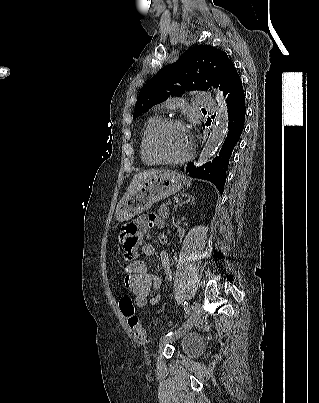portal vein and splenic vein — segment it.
Here are the masks:
<instances>
[{"label": "portal vein and splenic vein", "mask_w": 319, "mask_h": 403, "mask_svg": "<svg viewBox=\"0 0 319 403\" xmlns=\"http://www.w3.org/2000/svg\"><path fill=\"white\" fill-rule=\"evenodd\" d=\"M171 204H172V202H171V201H168L167 205H171Z\"/></svg>", "instance_id": "obj_1"}]
</instances>
